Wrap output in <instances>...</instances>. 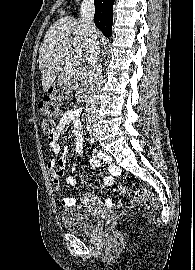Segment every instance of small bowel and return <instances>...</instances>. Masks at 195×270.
Returning <instances> with one entry per match:
<instances>
[{
	"mask_svg": "<svg viewBox=\"0 0 195 270\" xmlns=\"http://www.w3.org/2000/svg\"><path fill=\"white\" fill-rule=\"evenodd\" d=\"M81 109L72 108L66 110L60 120L58 121L55 130L52 135L49 136V146L52 150V158L47 164V171L51 180V183L56 190L60 191L61 177L65 174V159L64 154L67 148L59 141L60 134L69 125L73 124V134L75 136V151L78 156L83 155V125L81 122ZM106 164L110 175L103 179V185L109 187L113 184L114 177L120 174V169L117 165L111 162L110 158L106 155L95 153L91 159V165L94 167H101ZM81 166L80 162H75L71 168V172H76ZM68 186H74L76 181L73 176L67 175L64 179ZM81 200L84 204H95L98 199L91 193H85L82 195ZM76 198L73 196H65L62 199V205L66 208L74 206ZM106 205L113 207L117 204V201L112 199L106 200Z\"/></svg>",
	"mask_w": 195,
	"mask_h": 270,
	"instance_id": "small-bowel-1",
	"label": "small bowel"
}]
</instances>
